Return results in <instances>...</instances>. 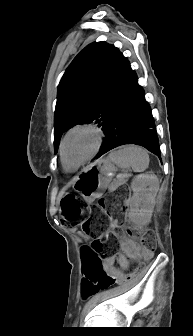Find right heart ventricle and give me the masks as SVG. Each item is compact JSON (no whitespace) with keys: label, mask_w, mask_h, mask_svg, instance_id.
<instances>
[{"label":"right heart ventricle","mask_w":193,"mask_h":336,"mask_svg":"<svg viewBox=\"0 0 193 336\" xmlns=\"http://www.w3.org/2000/svg\"><path fill=\"white\" fill-rule=\"evenodd\" d=\"M63 166H64V165H63ZM64 169H65L66 171H74V170H71V169L67 168L66 166H64Z\"/></svg>","instance_id":"e07e8e85"}]
</instances>
